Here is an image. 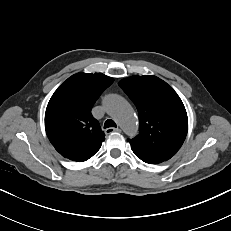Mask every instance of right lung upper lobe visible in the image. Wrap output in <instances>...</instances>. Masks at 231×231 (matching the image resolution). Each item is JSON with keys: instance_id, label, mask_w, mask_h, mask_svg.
Segmentation results:
<instances>
[{"instance_id": "obj_1", "label": "right lung upper lobe", "mask_w": 231, "mask_h": 231, "mask_svg": "<svg viewBox=\"0 0 231 231\" xmlns=\"http://www.w3.org/2000/svg\"><path fill=\"white\" fill-rule=\"evenodd\" d=\"M101 73H77L51 97L45 113V129L54 148L65 158L83 162L91 158L105 139L91 108L113 83Z\"/></svg>"}]
</instances>
